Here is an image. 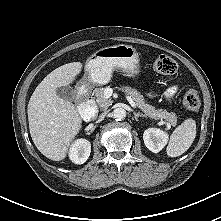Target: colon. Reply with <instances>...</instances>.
<instances>
[{"label":"colon","mask_w":221,"mask_h":221,"mask_svg":"<svg viewBox=\"0 0 221 221\" xmlns=\"http://www.w3.org/2000/svg\"><path fill=\"white\" fill-rule=\"evenodd\" d=\"M154 69L160 74L173 75L177 71V63L167 55H159L154 61ZM183 105L189 111H197L201 105L199 93L194 89L187 90L183 96Z\"/></svg>","instance_id":"5ec220e1"}]
</instances>
